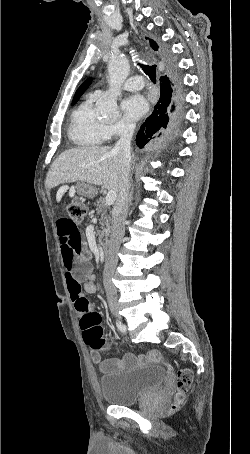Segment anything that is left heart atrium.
<instances>
[{
	"instance_id": "39dd6f15",
	"label": "left heart atrium",
	"mask_w": 250,
	"mask_h": 454,
	"mask_svg": "<svg viewBox=\"0 0 250 454\" xmlns=\"http://www.w3.org/2000/svg\"><path fill=\"white\" fill-rule=\"evenodd\" d=\"M148 110L146 99L140 94L130 95L121 103L123 116L129 121H136Z\"/></svg>"
}]
</instances>
